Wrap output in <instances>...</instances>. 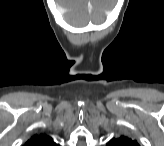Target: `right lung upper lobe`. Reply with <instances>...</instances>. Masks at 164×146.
<instances>
[{
  "instance_id": "cb5924a9",
  "label": "right lung upper lobe",
  "mask_w": 164,
  "mask_h": 146,
  "mask_svg": "<svg viewBox=\"0 0 164 146\" xmlns=\"http://www.w3.org/2000/svg\"><path fill=\"white\" fill-rule=\"evenodd\" d=\"M25 146H56L52 138L46 135H33L26 143Z\"/></svg>"
}]
</instances>
